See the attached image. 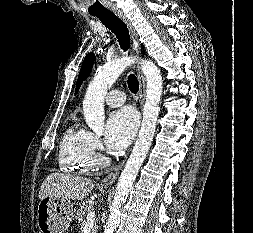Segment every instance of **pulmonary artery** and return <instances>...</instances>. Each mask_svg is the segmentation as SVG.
<instances>
[{"label":"pulmonary artery","instance_id":"pulmonary-artery-1","mask_svg":"<svg viewBox=\"0 0 253 233\" xmlns=\"http://www.w3.org/2000/svg\"><path fill=\"white\" fill-rule=\"evenodd\" d=\"M126 101V96L121 90H111L105 97V103L110 107L121 106Z\"/></svg>","mask_w":253,"mask_h":233}]
</instances>
